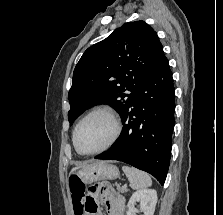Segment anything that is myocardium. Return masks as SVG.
<instances>
[{"mask_svg": "<svg viewBox=\"0 0 223 215\" xmlns=\"http://www.w3.org/2000/svg\"><path fill=\"white\" fill-rule=\"evenodd\" d=\"M98 114L105 115V116H107L111 120V122L113 124V133H112V136L109 139V141L104 146H102L100 149H98L96 151L88 152V153L81 152L77 148V145H76V134H77V130H78V128L80 127V125L84 121H86L90 117L95 116V115H98ZM121 130H122L121 123H120L117 115L115 114V112L112 109H110L108 107H96L93 110H91L90 112H88L83 118H81L77 122V124H76V126H75V128L73 130V134H72L73 146H74L76 152L79 155H81V156H94V155H97L99 153H102L103 151L111 148L115 144V142L118 140V138H119V136L121 134Z\"/></svg>", "mask_w": 223, "mask_h": 215, "instance_id": "f54148a6", "label": "myocardium"}]
</instances>
